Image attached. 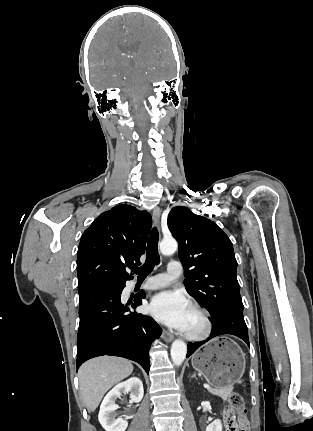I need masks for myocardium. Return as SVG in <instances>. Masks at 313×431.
<instances>
[{"instance_id": "myocardium-1", "label": "myocardium", "mask_w": 313, "mask_h": 431, "mask_svg": "<svg viewBox=\"0 0 313 431\" xmlns=\"http://www.w3.org/2000/svg\"><path fill=\"white\" fill-rule=\"evenodd\" d=\"M191 309L197 312L203 322L202 329L198 332H184V337L188 340L192 341H201L208 338L213 331V321L210 316V313L198 304H192Z\"/></svg>"}]
</instances>
